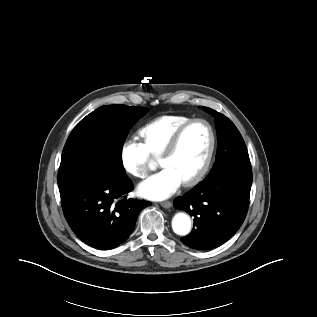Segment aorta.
<instances>
[{
	"instance_id": "obj_1",
	"label": "aorta",
	"mask_w": 317,
	"mask_h": 317,
	"mask_svg": "<svg viewBox=\"0 0 317 317\" xmlns=\"http://www.w3.org/2000/svg\"><path fill=\"white\" fill-rule=\"evenodd\" d=\"M173 231L180 236H186L191 231V219L186 213H177L172 220Z\"/></svg>"
}]
</instances>
